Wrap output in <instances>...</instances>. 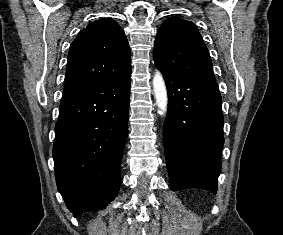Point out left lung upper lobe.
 <instances>
[{
	"instance_id": "1",
	"label": "left lung upper lobe",
	"mask_w": 283,
	"mask_h": 235,
	"mask_svg": "<svg viewBox=\"0 0 283 235\" xmlns=\"http://www.w3.org/2000/svg\"><path fill=\"white\" fill-rule=\"evenodd\" d=\"M153 58L163 71H173L204 81L216 82L207 47L190 21L171 17L159 28Z\"/></svg>"
}]
</instances>
